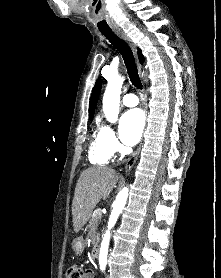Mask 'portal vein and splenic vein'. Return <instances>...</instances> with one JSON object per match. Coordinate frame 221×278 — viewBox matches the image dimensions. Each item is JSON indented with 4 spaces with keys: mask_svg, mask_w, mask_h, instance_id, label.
Instances as JSON below:
<instances>
[{
    "mask_svg": "<svg viewBox=\"0 0 221 278\" xmlns=\"http://www.w3.org/2000/svg\"><path fill=\"white\" fill-rule=\"evenodd\" d=\"M96 213H97L98 215H101V209L96 210Z\"/></svg>",
    "mask_w": 221,
    "mask_h": 278,
    "instance_id": "portal-vein-and-splenic-vein-1",
    "label": "portal vein and splenic vein"
}]
</instances>
